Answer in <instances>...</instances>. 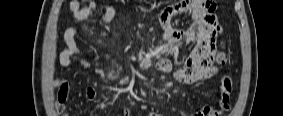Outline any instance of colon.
<instances>
[{
    "label": "colon",
    "instance_id": "colon-1",
    "mask_svg": "<svg viewBox=\"0 0 283 116\" xmlns=\"http://www.w3.org/2000/svg\"><path fill=\"white\" fill-rule=\"evenodd\" d=\"M216 60L219 64H224L227 60L226 54L224 51H220L217 56ZM69 88L67 85H62L59 89L57 101H56V110L59 113H62L66 109V102L68 99ZM229 109V103L225 102L223 105H220L218 109H214L219 115Z\"/></svg>",
    "mask_w": 283,
    "mask_h": 116
}]
</instances>
